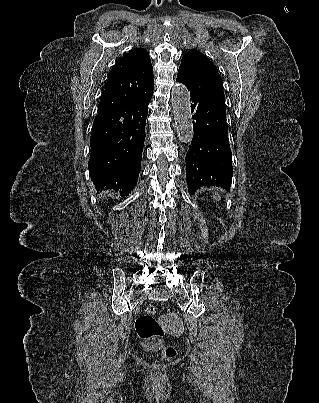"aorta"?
Masks as SVG:
<instances>
[{"label":"aorta","instance_id":"aorta-1","mask_svg":"<svg viewBox=\"0 0 319 403\" xmlns=\"http://www.w3.org/2000/svg\"><path fill=\"white\" fill-rule=\"evenodd\" d=\"M171 95L178 138L183 143H190L194 133L189 91L184 85L176 84Z\"/></svg>","mask_w":319,"mask_h":403}]
</instances>
